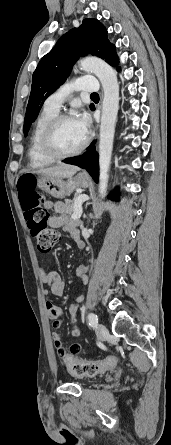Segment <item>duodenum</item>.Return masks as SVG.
<instances>
[{"mask_svg":"<svg viewBox=\"0 0 171 445\" xmlns=\"http://www.w3.org/2000/svg\"><path fill=\"white\" fill-rule=\"evenodd\" d=\"M75 239H76V241H77V243H78L79 246H83V242H82V240L80 239V237H76Z\"/></svg>","mask_w":171,"mask_h":445,"instance_id":"duodenum-1","label":"duodenum"}]
</instances>
